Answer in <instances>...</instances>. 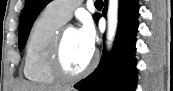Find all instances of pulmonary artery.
<instances>
[{"mask_svg":"<svg viewBox=\"0 0 173 91\" xmlns=\"http://www.w3.org/2000/svg\"><path fill=\"white\" fill-rule=\"evenodd\" d=\"M81 0H57L48 5V9L62 22L71 19L73 11L80 5Z\"/></svg>","mask_w":173,"mask_h":91,"instance_id":"e3ab8cb5","label":"pulmonary artery"}]
</instances>
